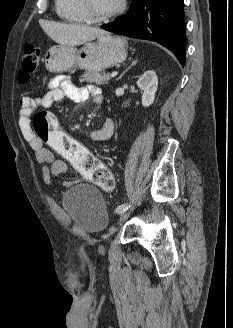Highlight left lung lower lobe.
<instances>
[{
  "instance_id": "left-lung-lower-lobe-1",
  "label": "left lung lower lobe",
  "mask_w": 233,
  "mask_h": 328,
  "mask_svg": "<svg viewBox=\"0 0 233 328\" xmlns=\"http://www.w3.org/2000/svg\"><path fill=\"white\" fill-rule=\"evenodd\" d=\"M106 31L157 42L185 64L183 0H133L128 13L101 25Z\"/></svg>"
}]
</instances>
